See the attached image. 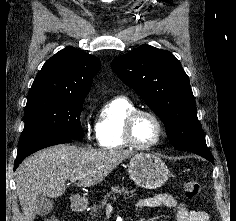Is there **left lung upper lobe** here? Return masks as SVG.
Segmentation results:
<instances>
[{
    "instance_id": "5c2ea615",
    "label": "left lung upper lobe",
    "mask_w": 236,
    "mask_h": 221,
    "mask_svg": "<svg viewBox=\"0 0 236 221\" xmlns=\"http://www.w3.org/2000/svg\"><path fill=\"white\" fill-rule=\"evenodd\" d=\"M111 67L160 117L174 148L208 149L189 78L171 52L141 45L115 58Z\"/></svg>"
}]
</instances>
